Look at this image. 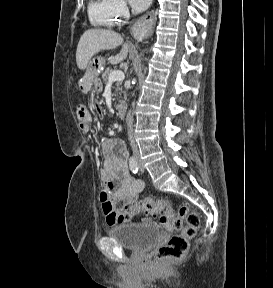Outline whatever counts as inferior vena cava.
<instances>
[{
  "instance_id": "obj_1",
  "label": "inferior vena cava",
  "mask_w": 273,
  "mask_h": 288,
  "mask_svg": "<svg viewBox=\"0 0 273 288\" xmlns=\"http://www.w3.org/2000/svg\"><path fill=\"white\" fill-rule=\"evenodd\" d=\"M126 124H127L128 140L130 142L132 151L134 154H137L138 153V147H137L135 140H134V137H133V114H132L131 110L127 113Z\"/></svg>"
}]
</instances>
